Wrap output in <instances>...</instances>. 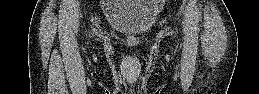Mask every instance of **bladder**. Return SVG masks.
Masks as SVG:
<instances>
[{"instance_id":"obj_1","label":"bladder","mask_w":259,"mask_h":94,"mask_svg":"<svg viewBox=\"0 0 259 94\" xmlns=\"http://www.w3.org/2000/svg\"><path fill=\"white\" fill-rule=\"evenodd\" d=\"M159 11L158 5L153 1H108L106 19L113 32L125 37H136L153 28Z\"/></svg>"}]
</instances>
